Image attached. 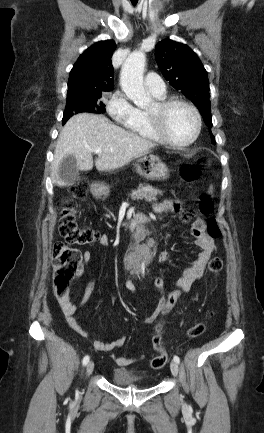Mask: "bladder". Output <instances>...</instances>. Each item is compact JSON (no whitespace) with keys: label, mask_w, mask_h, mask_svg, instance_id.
<instances>
[{"label":"bladder","mask_w":264,"mask_h":433,"mask_svg":"<svg viewBox=\"0 0 264 433\" xmlns=\"http://www.w3.org/2000/svg\"><path fill=\"white\" fill-rule=\"evenodd\" d=\"M111 380L114 384L120 386H144V379L137 372L125 369L116 368L111 373Z\"/></svg>","instance_id":"31cf9c89"}]
</instances>
